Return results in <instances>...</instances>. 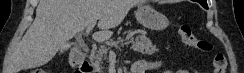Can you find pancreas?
<instances>
[{"label": "pancreas", "instance_id": "cf45deb5", "mask_svg": "<svg viewBox=\"0 0 244 73\" xmlns=\"http://www.w3.org/2000/svg\"><path fill=\"white\" fill-rule=\"evenodd\" d=\"M132 43V49L142 55H153L158 51L155 45L152 44L150 39L145 36H137L136 38L128 37L125 40H129ZM124 39L119 38L118 41L110 43V47L101 48L92 52V60L95 61L97 66H101L103 61L107 59V52L111 47H117L118 44L122 43Z\"/></svg>", "mask_w": 244, "mask_h": 73}]
</instances>
